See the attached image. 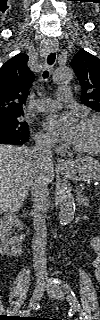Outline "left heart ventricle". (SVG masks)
<instances>
[{"label":"left heart ventricle","mask_w":100,"mask_h":320,"mask_svg":"<svg viewBox=\"0 0 100 320\" xmlns=\"http://www.w3.org/2000/svg\"><path fill=\"white\" fill-rule=\"evenodd\" d=\"M96 138V125L92 122H80L72 145L79 148H89L95 145Z\"/></svg>","instance_id":"1"}]
</instances>
